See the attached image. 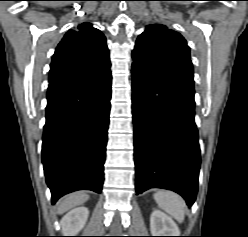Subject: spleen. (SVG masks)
Returning <instances> with one entry per match:
<instances>
[{
  "mask_svg": "<svg viewBox=\"0 0 248 237\" xmlns=\"http://www.w3.org/2000/svg\"><path fill=\"white\" fill-rule=\"evenodd\" d=\"M158 206L178 222H183L186 211L185 201L174 192L160 190L154 194Z\"/></svg>",
  "mask_w": 248,
  "mask_h": 237,
  "instance_id": "obj_1",
  "label": "spleen"
}]
</instances>
